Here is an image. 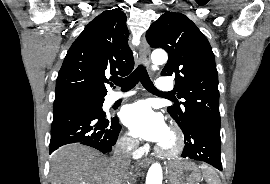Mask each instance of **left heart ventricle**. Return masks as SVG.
I'll use <instances>...</instances> for the list:
<instances>
[{"instance_id":"left-heart-ventricle-1","label":"left heart ventricle","mask_w":270,"mask_h":184,"mask_svg":"<svg viewBox=\"0 0 270 184\" xmlns=\"http://www.w3.org/2000/svg\"><path fill=\"white\" fill-rule=\"evenodd\" d=\"M171 143V139L169 134L166 136V138L163 140V142L161 143L162 146H169Z\"/></svg>"}]
</instances>
